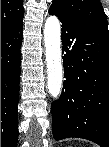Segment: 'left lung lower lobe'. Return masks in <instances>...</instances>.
I'll return each instance as SVG.
<instances>
[{
    "label": "left lung lower lobe",
    "mask_w": 109,
    "mask_h": 147,
    "mask_svg": "<svg viewBox=\"0 0 109 147\" xmlns=\"http://www.w3.org/2000/svg\"><path fill=\"white\" fill-rule=\"evenodd\" d=\"M62 23L64 77L78 71L81 86L70 93L64 82L52 103L53 137L84 138L109 146V37L49 9Z\"/></svg>",
    "instance_id": "0a47b994"
}]
</instances>
